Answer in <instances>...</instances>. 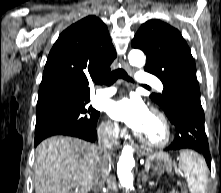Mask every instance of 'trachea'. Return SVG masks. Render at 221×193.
<instances>
[{"label": "trachea", "instance_id": "obj_1", "mask_svg": "<svg viewBox=\"0 0 221 193\" xmlns=\"http://www.w3.org/2000/svg\"><path fill=\"white\" fill-rule=\"evenodd\" d=\"M117 79H124L130 82H134V80L128 76L125 70L118 68L112 71L106 78L99 80L97 83L99 84H106L108 86L114 84ZM148 87V86H145ZM149 88V87H148Z\"/></svg>", "mask_w": 221, "mask_h": 193}]
</instances>
